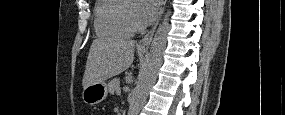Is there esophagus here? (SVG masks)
<instances>
[{"label":"esophagus","mask_w":285,"mask_h":115,"mask_svg":"<svg viewBox=\"0 0 285 115\" xmlns=\"http://www.w3.org/2000/svg\"><path fill=\"white\" fill-rule=\"evenodd\" d=\"M165 4H166V0H162L160 12H159V18H158L156 24L153 26V28L139 41V43H138L139 48H141V49H148L149 48L151 41H152V38H153V35L155 33V30H156V28L160 22V19H161L163 12H164Z\"/></svg>","instance_id":"1"}]
</instances>
